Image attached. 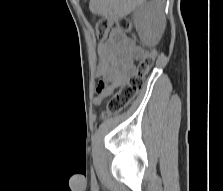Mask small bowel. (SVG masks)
<instances>
[{"mask_svg":"<svg viewBox=\"0 0 223 191\" xmlns=\"http://www.w3.org/2000/svg\"><path fill=\"white\" fill-rule=\"evenodd\" d=\"M143 48L136 45L127 35L113 29L106 41L105 55L111 69L106 73H98L102 79L97 87L98 95L95 103L100 104L113 91L123 86L135 71V63L145 56Z\"/></svg>","mask_w":223,"mask_h":191,"instance_id":"small-bowel-1","label":"small bowel"}]
</instances>
